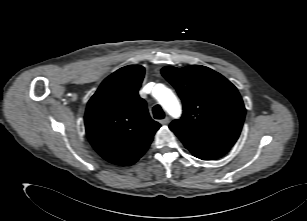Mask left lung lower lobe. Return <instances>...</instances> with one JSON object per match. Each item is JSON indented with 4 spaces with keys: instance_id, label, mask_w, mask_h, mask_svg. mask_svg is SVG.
<instances>
[{
    "instance_id": "0a47b994",
    "label": "left lung lower lobe",
    "mask_w": 307,
    "mask_h": 221,
    "mask_svg": "<svg viewBox=\"0 0 307 221\" xmlns=\"http://www.w3.org/2000/svg\"><path fill=\"white\" fill-rule=\"evenodd\" d=\"M182 142L195 157L202 160L218 159L229 151V148L211 147L188 141Z\"/></svg>"
}]
</instances>
